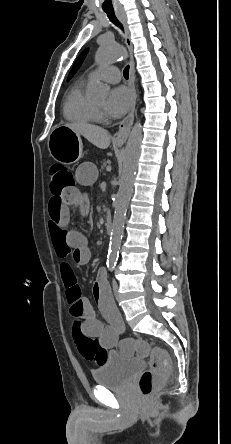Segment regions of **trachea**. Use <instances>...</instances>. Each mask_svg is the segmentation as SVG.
Segmentation results:
<instances>
[{
    "label": "trachea",
    "instance_id": "obj_1",
    "mask_svg": "<svg viewBox=\"0 0 231 444\" xmlns=\"http://www.w3.org/2000/svg\"><path fill=\"white\" fill-rule=\"evenodd\" d=\"M104 12L107 14L109 20L115 24L117 27H119L121 30H123V25L119 22V20L117 19L114 10H104ZM123 75L125 77V79H128L129 77V66H127L124 71H123Z\"/></svg>",
    "mask_w": 231,
    "mask_h": 444
}]
</instances>
